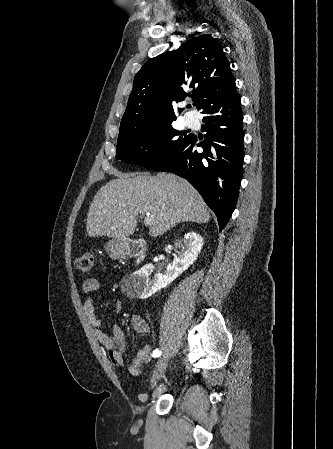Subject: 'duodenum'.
I'll return each instance as SVG.
<instances>
[{"instance_id":"obj_1","label":"duodenum","mask_w":333,"mask_h":449,"mask_svg":"<svg viewBox=\"0 0 333 449\" xmlns=\"http://www.w3.org/2000/svg\"><path fill=\"white\" fill-rule=\"evenodd\" d=\"M146 245L141 241L124 239L117 243L115 254L118 257H131L137 263H141L146 255Z\"/></svg>"}]
</instances>
